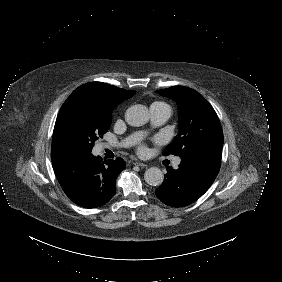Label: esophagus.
<instances>
[{
  "label": "esophagus",
  "mask_w": 282,
  "mask_h": 282,
  "mask_svg": "<svg viewBox=\"0 0 282 282\" xmlns=\"http://www.w3.org/2000/svg\"><path fill=\"white\" fill-rule=\"evenodd\" d=\"M135 166H138V167H146L147 165L144 164V163H140V162H134L133 163Z\"/></svg>",
  "instance_id": "1"
}]
</instances>
